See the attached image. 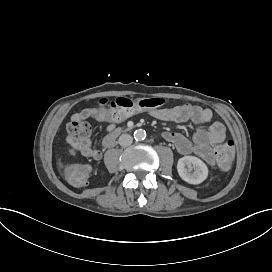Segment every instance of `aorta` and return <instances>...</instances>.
<instances>
[{"instance_id": "1", "label": "aorta", "mask_w": 272, "mask_h": 272, "mask_svg": "<svg viewBox=\"0 0 272 272\" xmlns=\"http://www.w3.org/2000/svg\"><path fill=\"white\" fill-rule=\"evenodd\" d=\"M134 138L137 141L144 140L146 138V131L143 129H137L134 132Z\"/></svg>"}]
</instances>
